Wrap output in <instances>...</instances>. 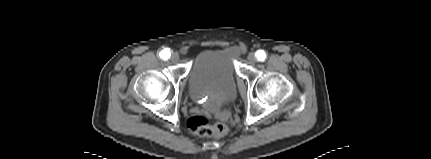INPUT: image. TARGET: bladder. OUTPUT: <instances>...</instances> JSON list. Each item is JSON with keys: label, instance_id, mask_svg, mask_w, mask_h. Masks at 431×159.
Instances as JSON below:
<instances>
[{"label": "bladder", "instance_id": "bladder-1", "mask_svg": "<svg viewBox=\"0 0 431 159\" xmlns=\"http://www.w3.org/2000/svg\"><path fill=\"white\" fill-rule=\"evenodd\" d=\"M235 46L200 52L193 61L188 87L191 98L209 110H218L231 103L237 94Z\"/></svg>", "mask_w": 431, "mask_h": 159}]
</instances>
